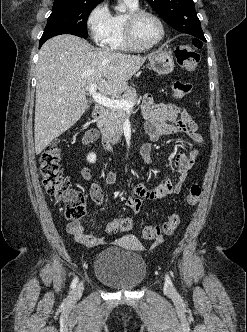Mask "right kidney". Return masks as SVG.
I'll use <instances>...</instances> for the list:
<instances>
[{
  "label": "right kidney",
  "mask_w": 247,
  "mask_h": 332,
  "mask_svg": "<svg viewBox=\"0 0 247 332\" xmlns=\"http://www.w3.org/2000/svg\"><path fill=\"white\" fill-rule=\"evenodd\" d=\"M87 161L90 162V163H95V161H96V154L95 153L88 154Z\"/></svg>",
  "instance_id": "obj_1"
}]
</instances>
